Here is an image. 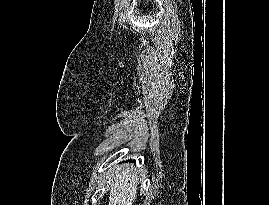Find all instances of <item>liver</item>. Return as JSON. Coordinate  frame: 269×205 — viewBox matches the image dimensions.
I'll return each mask as SVG.
<instances>
[{
  "mask_svg": "<svg viewBox=\"0 0 269 205\" xmlns=\"http://www.w3.org/2000/svg\"><path fill=\"white\" fill-rule=\"evenodd\" d=\"M137 177L128 167L110 181L109 205H132L137 194Z\"/></svg>",
  "mask_w": 269,
  "mask_h": 205,
  "instance_id": "liver-1",
  "label": "liver"
}]
</instances>
